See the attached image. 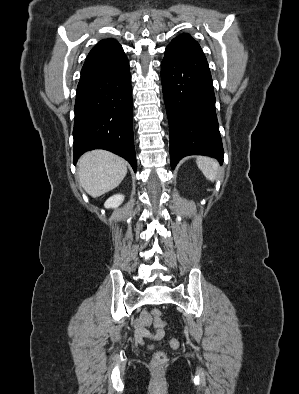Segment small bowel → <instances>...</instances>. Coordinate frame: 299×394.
Instances as JSON below:
<instances>
[{"label": "small bowel", "mask_w": 299, "mask_h": 394, "mask_svg": "<svg viewBox=\"0 0 299 394\" xmlns=\"http://www.w3.org/2000/svg\"><path fill=\"white\" fill-rule=\"evenodd\" d=\"M152 323L153 319L151 315L148 311L144 310L136 321L135 337L138 342L143 343L147 341L153 345L162 340L165 335V330L154 322L156 330L151 331L149 327Z\"/></svg>", "instance_id": "small-bowel-1"}]
</instances>
